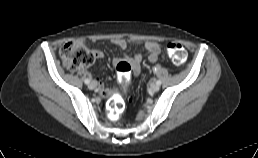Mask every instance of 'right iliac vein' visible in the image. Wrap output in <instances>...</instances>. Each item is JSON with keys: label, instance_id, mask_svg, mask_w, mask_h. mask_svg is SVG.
<instances>
[{"label": "right iliac vein", "instance_id": "right-iliac-vein-1", "mask_svg": "<svg viewBox=\"0 0 258 158\" xmlns=\"http://www.w3.org/2000/svg\"><path fill=\"white\" fill-rule=\"evenodd\" d=\"M95 87H96V84H95L94 81H92V82L89 83V85H88V88H89L90 90H93Z\"/></svg>", "mask_w": 258, "mask_h": 158}]
</instances>
